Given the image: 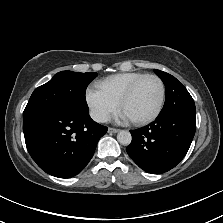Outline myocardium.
<instances>
[{
	"mask_svg": "<svg viewBox=\"0 0 223 223\" xmlns=\"http://www.w3.org/2000/svg\"><path fill=\"white\" fill-rule=\"evenodd\" d=\"M152 78L155 79L160 87V95H159V100L158 104L155 108V110L147 117L142 118V119H131L134 123L137 124H147L155 120L158 115L160 114L164 100H165V85L160 77L154 74H148L143 76L142 78L138 79L119 99V108L123 106V104L137 91L139 86L147 79Z\"/></svg>",
	"mask_w": 223,
	"mask_h": 223,
	"instance_id": "1",
	"label": "myocardium"
}]
</instances>
